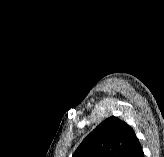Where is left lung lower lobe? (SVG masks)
Instances as JSON below:
<instances>
[{"instance_id": "0a47b994", "label": "left lung lower lobe", "mask_w": 164, "mask_h": 157, "mask_svg": "<svg viewBox=\"0 0 164 157\" xmlns=\"http://www.w3.org/2000/svg\"><path fill=\"white\" fill-rule=\"evenodd\" d=\"M125 157H144L141 144L136 137L132 144L130 145Z\"/></svg>"}]
</instances>
